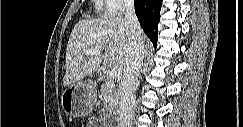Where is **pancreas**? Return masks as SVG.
I'll use <instances>...</instances> for the list:
<instances>
[{
    "label": "pancreas",
    "mask_w": 243,
    "mask_h": 127,
    "mask_svg": "<svg viewBox=\"0 0 243 127\" xmlns=\"http://www.w3.org/2000/svg\"><path fill=\"white\" fill-rule=\"evenodd\" d=\"M119 93V89L112 79H107L101 85V95L104 100V110L107 108L116 109L119 101Z\"/></svg>",
    "instance_id": "obj_1"
}]
</instances>
